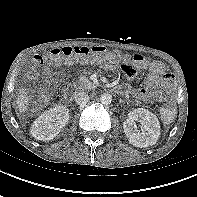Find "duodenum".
Instances as JSON below:
<instances>
[{
  "instance_id": "obj_1",
  "label": "duodenum",
  "mask_w": 197,
  "mask_h": 197,
  "mask_svg": "<svg viewBox=\"0 0 197 197\" xmlns=\"http://www.w3.org/2000/svg\"><path fill=\"white\" fill-rule=\"evenodd\" d=\"M114 91L119 93V94H126V93H128L127 92V88L125 86H123V85L115 87Z\"/></svg>"
}]
</instances>
